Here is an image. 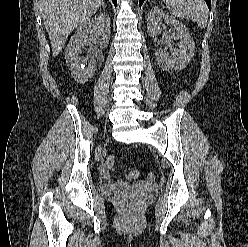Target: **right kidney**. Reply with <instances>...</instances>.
Returning <instances> with one entry per match:
<instances>
[{"mask_svg":"<svg viewBox=\"0 0 248 247\" xmlns=\"http://www.w3.org/2000/svg\"><path fill=\"white\" fill-rule=\"evenodd\" d=\"M110 17L100 14L92 19H87L71 37L66 47L65 59L75 81L84 84L93 77L96 71V61L92 58L87 67L85 60L78 53L90 44V41L99 44H108L110 39Z\"/></svg>","mask_w":248,"mask_h":247,"instance_id":"ca27d5eb","label":"right kidney"}]
</instances>
